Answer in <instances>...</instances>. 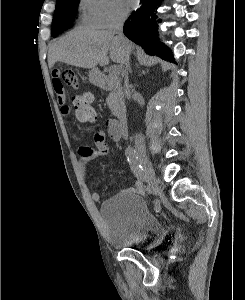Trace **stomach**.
Masks as SVG:
<instances>
[{
    "label": "stomach",
    "mask_w": 245,
    "mask_h": 300,
    "mask_svg": "<svg viewBox=\"0 0 245 300\" xmlns=\"http://www.w3.org/2000/svg\"><path fill=\"white\" fill-rule=\"evenodd\" d=\"M97 70L93 69L89 72V77L92 81L96 79Z\"/></svg>",
    "instance_id": "1"
}]
</instances>
